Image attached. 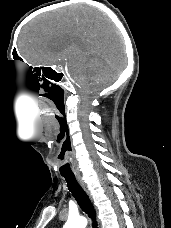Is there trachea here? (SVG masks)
<instances>
[{
  "mask_svg": "<svg viewBox=\"0 0 171 228\" xmlns=\"http://www.w3.org/2000/svg\"><path fill=\"white\" fill-rule=\"evenodd\" d=\"M63 177L67 182V187L69 191L72 193V196L75 198L81 209L92 220L93 228L97 227L96 213L88 195L78 184L74 175H63Z\"/></svg>",
  "mask_w": 171,
  "mask_h": 228,
  "instance_id": "obj_1",
  "label": "trachea"
}]
</instances>
